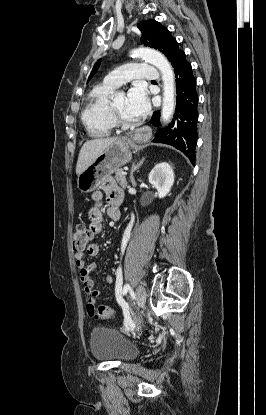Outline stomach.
<instances>
[{
	"label": "stomach",
	"instance_id": "1",
	"mask_svg": "<svg viewBox=\"0 0 266 415\" xmlns=\"http://www.w3.org/2000/svg\"><path fill=\"white\" fill-rule=\"evenodd\" d=\"M132 153L130 141L120 138L111 143L77 178V186L82 193L94 191L109 179L114 171L130 162Z\"/></svg>",
	"mask_w": 266,
	"mask_h": 415
}]
</instances>
